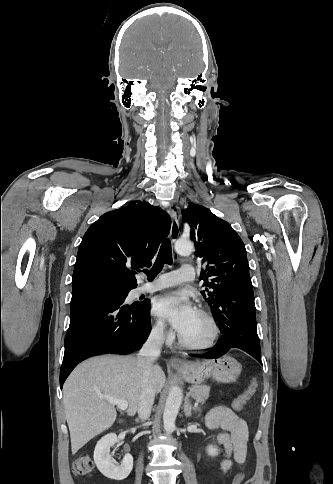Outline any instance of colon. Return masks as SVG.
Wrapping results in <instances>:
<instances>
[{"mask_svg": "<svg viewBox=\"0 0 333 484\" xmlns=\"http://www.w3.org/2000/svg\"><path fill=\"white\" fill-rule=\"evenodd\" d=\"M257 384L255 380H252L249 386L244 392L238 395L231 403L232 410H242L247 402L254 396L256 392ZM73 472L77 476H86L92 473L94 469V463L88 455H81L73 462ZM243 479V474L236 475L233 484H240Z\"/></svg>", "mask_w": 333, "mask_h": 484, "instance_id": "colon-1", "label": "colon"}]
</instances>
